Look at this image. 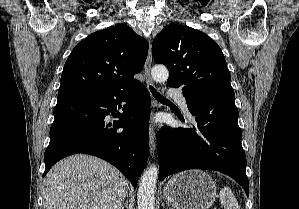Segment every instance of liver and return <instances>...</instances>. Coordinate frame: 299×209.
<instances>
[{"mask_svg": "<svg viewBox=\"0 0 299 209\" xmlns=\"http://www.w3.org/2000/svg\"><path fill=\"white\" fill-rule=\"evenodd\" d=\"M129 189L123 174L104 160L72 155L44 179V209H120Z\"/></svg>", "mask_w": 299, "mask_h": 209, "instance_id": "1", "label": "liver"}]
</instances>
